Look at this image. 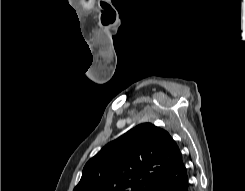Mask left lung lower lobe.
I'll return each mask as SVG.
<instances>
[{
	"label": "left lung lower lobe",
	"mask_w": 245,
	"mask_h": 191,
	"mask_svg": "<svg viewBox=\"0 0 245 191\" xmlns=\"http://www.w3.org/2000/svg\"><path fill=\"white\" fill-rule=\"evenodd\" d=\"M153 191H190L189 177L181 155Z\"/></svg>",
	"instance_id": "obj_1"
}]
</instances>
